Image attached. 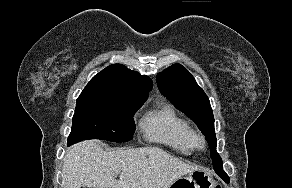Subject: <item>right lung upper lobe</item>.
I'll return each instance as SVG.
<instances>
[{
  "instance_id": "cb5924a9",
  "label": "right lung upper lobe",
  "mask_w": 292,
  "mask_h": 188,
  "mask_svg": "<svg viewBox=\"0 0 292 188\" xmlns=\"http://www.w3.org/2000/svg\"><path fill=\"white\" fill-rule=\"evenodd\" d=\"M87 87H103L147 99L153 82L148 76H141L124 65L113 64L95 75Z\"/></svg>"
}]
</instances>
